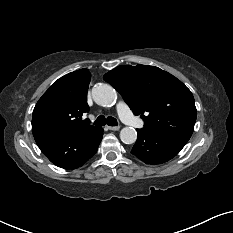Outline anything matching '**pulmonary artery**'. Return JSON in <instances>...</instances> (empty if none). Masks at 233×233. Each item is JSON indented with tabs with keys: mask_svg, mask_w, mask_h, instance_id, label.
<instances>
[{
	"mask_svg": "<svg viewBox=\"0 0 233 233\" xmlns=\"http://www.w3.org/2000/svg\"><path fill=\"white\" fill-rule=\"evenodd\" d=\"M117 112L123 122H125L127 125L140 128L143 126V122L136 118L130 111L128 105L124 102H120L117 105Z\"/></svg>",
	"mask_w": 233,
	"mask_h": 233,
	"instance_id": "obj_1",
	"label": "pulmonary artery"
}]
</instances>
